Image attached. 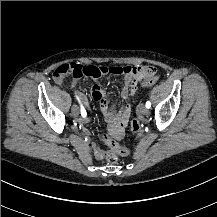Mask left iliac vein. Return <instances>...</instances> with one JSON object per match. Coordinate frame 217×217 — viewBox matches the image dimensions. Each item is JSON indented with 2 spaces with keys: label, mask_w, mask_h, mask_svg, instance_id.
I'll list each match as a JSON object with an SVG mask.
<instances>
[{
  "label": "left iliac vein",
  "mask_w": 217,
  "mask_h": 217,
  "mask_svg": "<svg viewBox=\"0 0 217 217\" xmlns=\"http://www.w3.org/2000/svg\"><path fill=\"white\" fill-rule=\"evenodd\" d=\"M139 111H140V113L143 114V115H147V114L149 113L148 108L145 107L144 105H141V106L139 107Z\"/></svg>",
  "instance_id": "4c4485c4"
}]
</instances>
